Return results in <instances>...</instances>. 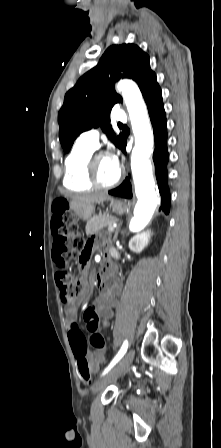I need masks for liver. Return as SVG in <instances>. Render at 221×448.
<instances>
[{"label":"liver","instance_id":"liver-1","mask_svg":"<svg viewBox=\"0 0 221 448\" xmlns=\"http://www.w3.org/2000/svg\"><path fill=\"white\" fill-rule=\"evenodd\" d=\"M71 198V204L74 208L93 206L95 203L100 204L111 199V197L105 192L86 195H75Z\"/></svg>","mask_w":221,"mask_h":448}]
</instances>
